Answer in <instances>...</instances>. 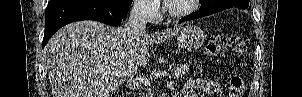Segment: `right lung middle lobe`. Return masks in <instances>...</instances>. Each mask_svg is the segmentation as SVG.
Returning a JSON list of instances; mask_svg holds the SVG:
<instances>
[{"instance_id": "obj_1", "label": "right lung middle lobe", "mask_w": 302, "mask_h": 97, "mask_svg": "<svg viewBox=\"0 0 302 97\" xmlns=\"http://www.w3.org/2000/svg\"><path fill=\"white\" fill-rule=\"evenodd\" d=\"M116 1L127 4V5H130L132 3V0H116Z\"/></svg>"}]
</instances>
